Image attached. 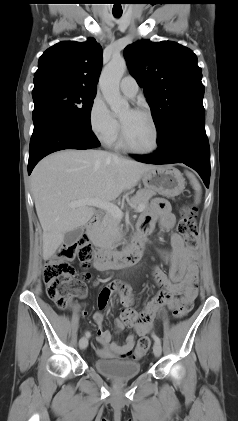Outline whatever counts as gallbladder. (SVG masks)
Listing matches in <instances>:
<instances>
[{
    "mask_svg": "<svg viewBox=\"0 0 238 421\" xmlns=\"http://www.w3.org/2000/svg\"><path fill=\"white\" fill-rule=\"evenodd\" d=\"M82 234H83L82 227H78L72 231L67 232L64 236L65 244L68 246L73 245L75 242L78 241V239L82 236Z\"/></svg>",
    "mask_w": 238,
    "mask_h": 421,
    "instance_id": "bac80fb5",
    "label": "gallbladder"
}]
</instances>
